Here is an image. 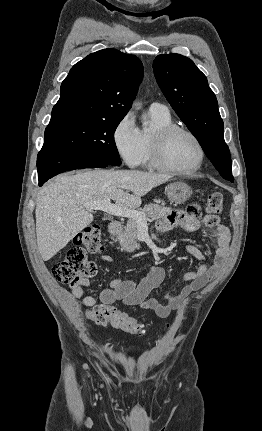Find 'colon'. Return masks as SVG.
<instances>
[{
  "label": "colon",
  "mask_w": 262,
  "mask_h": 431,
  "mask_svg": "<svg viewBox=\"0 0 262 431\" xmlns=\"http://www.w3.org/2000/svg\"><path fill=\"white\" fill-rule=\"evenodd\" d=\"M206 212L210 215H218L224 209L223 195L219 191L208 194L205 202ZM188 213H196V207L191 205ZM104 246L99 238V226L92 224L74 239V246L70 247L64 258L58 262L53 273L56 279L71 289H76L92 278L97 271V266L88 260L85 251L101 253ZM92 319L98 323H109L113 328L120 329L131 334H141L142 325L126 313L112 310L108 315L97 313Z\"/></svg>",
  "instance_id": "colon-1"
}]
</instances>
